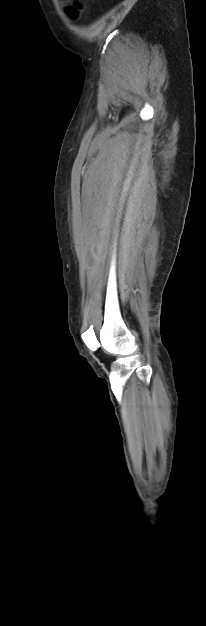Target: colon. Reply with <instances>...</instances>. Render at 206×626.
<instances>
[{
	"label": "colon",
	"mask_w": 206,
	"mask_h": 626,
	"mask_svg": "<svg viewBox=\"0 0 206 626\" xmlns=\"http://www.w3.org/2000/svg\"><path fill=\"white\" fill-rule=\"evenodd\" d=\"M81 9V3L79 1H76L72 7L68 8V13L71 17L76 18L79 15Z\"/></svg>",
	"instance_id": "obj_1"
}]
</instances>
